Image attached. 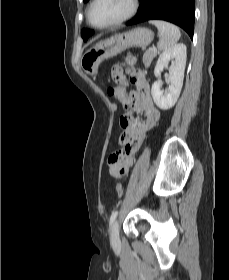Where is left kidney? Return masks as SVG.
I'll use <instances>...</instances> for the list:
<instances>
[{
	"label": "left kidney",
	"mask_w": 229,
	"mask_h": 280,
	"mask_svg": "<svg viewBox=\"0 0 229 280\" xmlns=\"http://www.w3.org/2000/svg\"><path fill=\"white\" fill-rule=\"evenodd\" d=\"M170 61V77L167 91L164 93L161 90V82L159 80L155 81L151 88L153 100L162 110L172 108L180 95L186 65V46L184 44H176L160 54L154 69V75L157 78L161 76V72L168 66Z\"/></svg>",
	"instance_id": "1"
}]
</instances>
